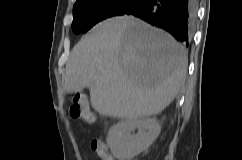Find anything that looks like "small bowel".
Listing matches in <instances>:
<instances>
[{
    "label": "small bowel",
    "instance_id": "1",
    "mask_svg": "<svg viewBox=\"0 0 242 160\" xmlns=\"http://www.w3.org/2000/svg\"><path fill=\"white\" fill-rule=\"evenodd\" d=\"M101 143H102L103 146L105 147L104 143H103V142H101ZM95 144H96V142L93 141V143H92V148H93L97 153H99V152L102 150V147H100V148H96V149H95ZM103 160H114V158H113L111 155H108V156L104 157Z\"/></svg>",
    "mask_w": 242,
    "mask_h": 160
}]
</instances>
